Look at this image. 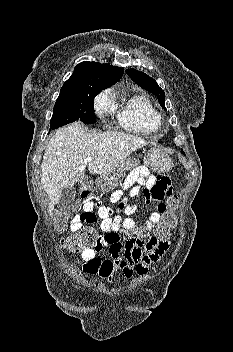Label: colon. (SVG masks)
<instances>
[{
  "label": "colon",
  "mask_w": 233,
  "mask_h": 352,
  "mask_svg": "<svg viewBox=\"0 0 233 352\" xmlns=\"http://www.w3.org/2000/svg\"><path fill=\"white\" fill-rule=\"evenodd\" d=\"M179 201L176 197H170L166 204L159 207L160 220L151 230L126 231L127 242L139 246L157 247L168 243L169 234L177 225V209ZM68 218L62 214L56 219V228L63 229ZM101 241L97 231L92 227H84L70 237L62 240V246L72 253L83 252L86 249L97 246Z\"/></svg>",
  "instance_id": "1"
}]
</instances>
